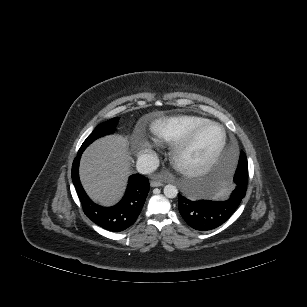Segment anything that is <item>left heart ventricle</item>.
I'll return each instance as SVG.
<instances>
[{"label":"left heart ventricle","mask_w":307,"mask_h":307,"mask_svg":"<svg viewBox=\"0 0 307 307\" xmlns=\"http://www.w3.org/2000/svg\"><path fill=\"white\" fill-rule=\"evenodd\" d=\"M221 141V132L217 127H208L200 133L193 145L182 155L181 160L188 165L206 160Z\"/></svg>","instance_id":"1"}]
</instances>
